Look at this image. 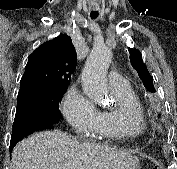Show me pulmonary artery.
<instances>
[{
	"label": "pulmonary artery",
	"instance_id": "e3ab8cb5",
	"mask_svg": "<svg viewBox=\"0 0 177 169\" xmlns=\"http://www.w3.org/2000/svg\"><path fill=\"white\" fill-rule=\"evenodd\" d=\"M111 90L120 91L129 86L128 81L117 71H110L108 74Z\"/></svg>",
	"mask_w": 177,
	"mask_h": 169
}]
</instances>
